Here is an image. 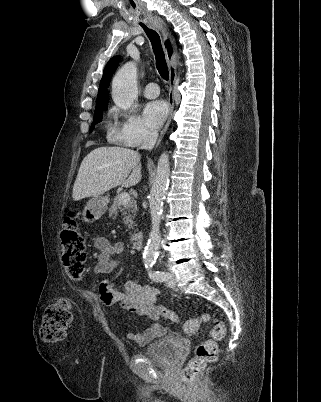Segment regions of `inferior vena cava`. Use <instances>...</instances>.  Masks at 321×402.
I'll return each mask as SVG.
<instances>
[{"label": "inferior vena cava", "mask_w": 321, "mask_h": 402, "mask_svg": "<svg viewBox=\"0 0 321 402\" xmlns=\"http://www.w3.org/2000/svg\"><path fill=\"white\" fill-rule=\"evenodd\" d=\"M158 138V132L156 130H148L144 136L141 149L152 150Z\"/></svg>", "instance_id": "1"}]
</instances>
